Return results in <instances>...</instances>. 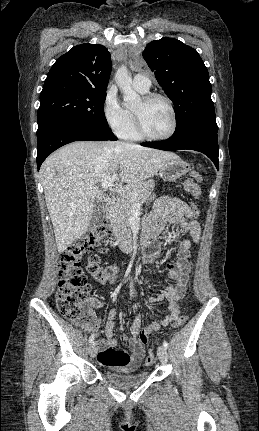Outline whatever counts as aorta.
Wrapping results in <instances>:
<instances>
[{
	"label": "aorta",
	"mask_w": 259,
	"mask_h": 431,
	"mask_svg": "<svg viewBox=\"0 0 259 431\" xmlns=\"http://www.w3.org/2000/svg\"><path fill=\"white\" fill-rule=\"evenodd\" d=\"M116 83L123 94L126 106L132 108L140 102V95L132 89V77L127 67H120L115 74Z\"/></svg>",
	"instance_id": "aorta-1"
}]
</instances>
